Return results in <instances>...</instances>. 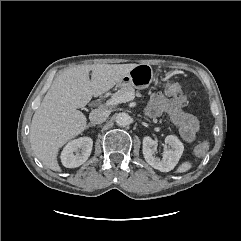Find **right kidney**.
<instances>
[{
  "mask_svg": "<svg viewBox=\"0 0 241 241\" xmlns=\"http://www.w3.org/2000/svg\"><path fill=\"white\" fill-rule=\"evenodd\" d=\"M93 141L90 137H80L69 142L61 153V162L67 168L82 165L90 156Z\"/></svg>",
  "mask_w": 241,
  "mask_h": 241,
  "instance_id": "right-kidney-1",
  "label": "right kidney"
}]
</instances>
